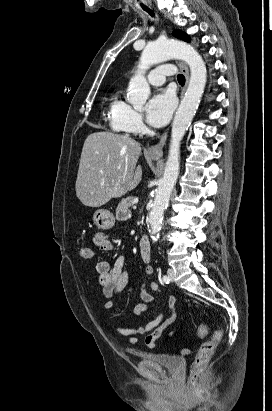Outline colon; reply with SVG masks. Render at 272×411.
Masks as SVG:
<instances>
[{"instance_id":"colon-1","label":"colon","mask_w":272,"mask_h":411,"mask_svg":"<svg viewBox=\"0 0 272 411\" xmlns=\"http://www.w3.org/2000/svg\"><path fill=\"white\" fill-rule=\"evenodd\" d=\"M80 255L85 259H90L93 256V251L89 246L80 247ZM208 326L206 323H202L197 328V334L199 337H204L207 334ZM224 336L223 328L217 329L210 340L205 341L199 348V351L195 357L191 374L189 377L190 385L193 387H199L201 385V375L208 366L211 355L216 349L217 345L221 342Z\"/></svg>"}]
</instances>
